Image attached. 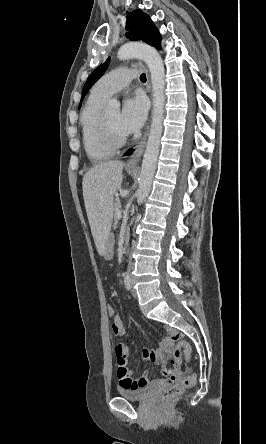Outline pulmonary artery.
<instances>
[{
	"label": "pulmonary artery",
	"instance_id": "pulmonary-artery-1",
	"mask_svg": "<svg viewBox=\"0 0 266 444\" xmlns=\"http://www.w3.org/2000/svg\"><path fill=\"white\" fill-rule=\"evenodd\" d=\"M138 74L137 68L119 67L105 74L94 86L93 92L109 98L130 84Z\"/></svg>",
	"mask_w": 266,
	"mask_h": 444
}]
</instances>
